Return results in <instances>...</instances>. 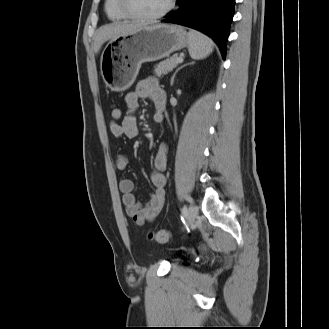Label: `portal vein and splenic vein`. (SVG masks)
Masks as SVG:
<instances>
[{"mask_svg":"<svg viewBox=\"0 0 329 329\" xmlns=\"http://www.w3.org/2000/svg\"><path fill=\"white\" fill-rule=\"evenodd\" d=\"M183 62V58L182 57H179L178 59H177V63H182Z\"/></svg>","mask_w":329,"mask_h":329,"instance_id":"obj_1","label":"portal vein and splenic vein"}]
</instances>
